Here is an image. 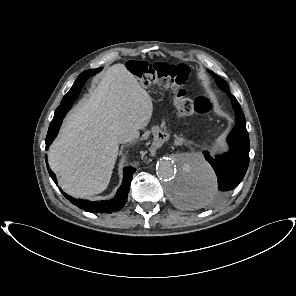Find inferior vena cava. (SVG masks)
I'll return each instance as SVG.
<instances>
[{
	"mask_svg": "<svg viewBox=\"0 0 296 296\" xmlns=\"http://www.w3.org/2000/svg\"><path fill=\"white\" fill-rule=\"evenodd\" d=\"M137 136H138V133H137V132H129V133H126V134L121 135V136L118 138V142H119V143L130 142V141H132L133 139H135Z\"/></svg>",
	"mask_w": 296,
	"mask_h": 296,
	"instance_id": "1",
	"label": "inferior vena cava"
}]
</instances>
